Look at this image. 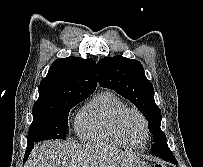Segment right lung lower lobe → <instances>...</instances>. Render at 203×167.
I'll return each mask as SVG.
<instances>
[{
  "instance_id": "1",
  "label": "right lung lower lobe",
  "mask_w": 203,
  "mask_h": 167,
  "mask_svg": "<svg viewBox=\"0 0 203 167\" xmlns=\"http://www.w3.org/2000/svg\"><path fill=\"white\" fill-rule=\"evenodd\" d=\"M35 142H28L27 143V149H26V152H25V156H24V162L27 160V158L29 157V153H30V151L33 149V144H34Z\"/></svg>"
}]
</instances>
